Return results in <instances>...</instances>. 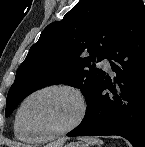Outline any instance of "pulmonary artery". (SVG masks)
<instances>
[{
    "instance_id": "1",
    "label": "pulmonary artery",
    "mask_w": 145,
    "mask_h": 147,
    "mask_svg": "<svg viewBox=\"0 0 145 147\" xmlns=\"http://www.w3.org/2000/svg\"><path fill=\"white\" fill-rule=\"evenodd\" d=\"M100 65L102 67H104L106 70H110L111 69V66H110V60L108 58H103L101 61H100Z\"/></svg>"
}]
</instances>
